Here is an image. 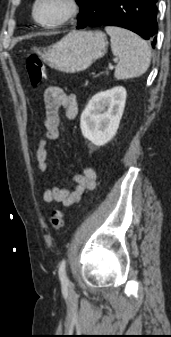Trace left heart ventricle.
Returning <instances> with one entry per match:
<instances>
[{"label":"left heart ventricle","mask_w":171,"mask_h":337,"mask_svg":"<svg viewBox=\"0 0 171 337\" xmlns=\"http://www.w3.org/2000/svg\"><path fill=\"white\" fill-rule=\"evenodd\" d=\"M66 5L62 0H42L37 8V17L44 22H55L63 17Z\"/></svg>","instance_id":"obj_1"}]
</instances>
